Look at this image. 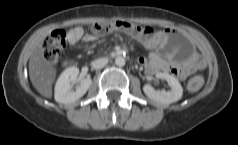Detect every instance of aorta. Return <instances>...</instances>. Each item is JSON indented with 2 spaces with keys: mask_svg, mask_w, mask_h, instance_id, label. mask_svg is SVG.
Here are the masks:
<instances>
[{
  "mask_svg": "<svg viewBox=\"0 0 238 145\" xmlns=\"http://www.w3.org/2000/svg\"><path fill=\"white\" fill-rule=\"evenodd\" d=\"M125 63H126V61H125L124 57L118 56V57L115 58V64L117 66L122 67V66L125 65Z\"/></svg>",
  "mask_w": 238,
  "mask_h": 145,
  "instance_id": "obj_1",
  "label": "aorta"
}]
</instances>
